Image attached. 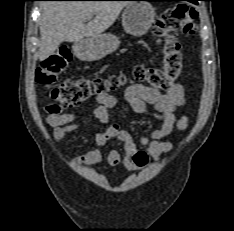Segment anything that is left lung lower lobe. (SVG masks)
Instances as JSON below:
<instances>
[{
  "mask_svg": "<svg viewBox=\"0 0 234 231\" xmlns=\"http://www.w3.org/2000/svg\"><path fill=\"white\" fill-rule=\"evenodd\" d=\"M149 1H158V0H149ZM185 1H189L191 3L197 4V2L200 0H185Z\"/></svg>",
  "mask_w": 234,
  "mask_h": 231,
  "instance_id": "obj_1",
  "label": "left lung lower lobe"
}]
</instances>
